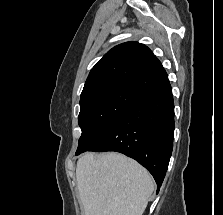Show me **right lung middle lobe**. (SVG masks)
<instances>
[{"mask_svg":"<svg viewBox=\"0 0 223 215\" xmlns=\"http://www.w3.org/2000/svg\"><path fill=\"white\" fill-rule=\"evenodd\" d=\"M142 97L132 91L114 90L81 103L78 123L82 134L76 155L96 144Z\"/></svg>","mask_w":223,"mask_h":215,"instance_id":"1","label":"right lung middle lobe"}]
</instances>
